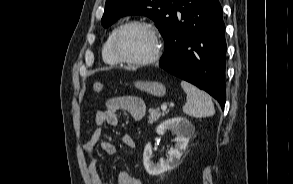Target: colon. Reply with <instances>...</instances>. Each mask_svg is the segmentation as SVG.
Wrapping results in <instances>:
<instances>
[{"label": "colon", "instance_id": "colon-1", "mask_svg": "<svg viewBox=\"0 0 293 184\" xmlns=\"http://www.w3.org/2000/svg\"><path fill=\"white\" fill-rule=\"evenodd\" d=\"M103 88H104V86L101 82H95L93 84V92L95 94H99L100 92H102Z\"/></svg>", "mask_w": 293, "mask_h": 184}]
</instances>
